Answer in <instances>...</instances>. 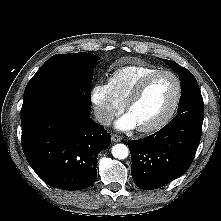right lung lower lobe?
Wrapping results in <instances>:
<instances>
[{"label":"right lung lower lobe","instance_id":"obj_1","mask_svg":"<svg viewBox=\"0 0 221 221\" xmlns=\"http://www.w3.org/2000/svg\"><path fill=\"white\" fill-rule=\"evenodd\" d=\"M22 148L35 173L49 186L81 190L97 177L98 154L111 136L85 110L67 102L46 104L21 120Z\"/></svg>","mask_w":221,"mask_h":221}]
</instances>
